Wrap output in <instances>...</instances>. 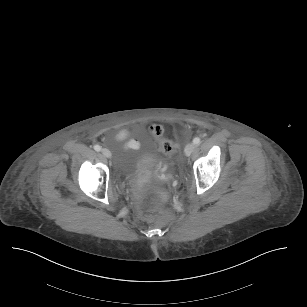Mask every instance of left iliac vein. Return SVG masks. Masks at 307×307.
Here are the masks:
<instances>
[{"label": "left iliac vein", "instance_id": "1", "mask_svg": "<svg viewBox=\"0 0 307 307\" xmlns=\"http://www.w3.org/2000/svg\"><path fill=\"white\" fill-rule=\"evenodd\" d=\"M194 144L193 143H189L186 145L185 149H184V153L186 156H189L193 151H194Z\"/></svg>", "mask_w": 307, "mask_h": 307}]
</instances>
